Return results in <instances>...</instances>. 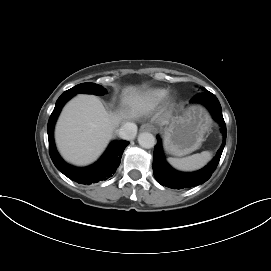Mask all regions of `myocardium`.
<instances>
[{
	"label": "myocardium",
	"instance_id": "f54148a6",
	"mask_svg": "<svg viewBox=\"0 0 271 271\" xmlns=\"http://www.w3.org/2000/svg\"><path fill=\"white\" fill-rule=\"evenodd\" d=\"M172 102V98L170 96L165 97V103L168 105Z\"/></svg>",
	"mask_w": 271,
	"mask_h": 271
}]
</instances>
